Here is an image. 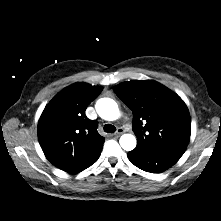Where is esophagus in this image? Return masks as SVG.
Returning a JSON list of instances; mask_svg holds the SVG:
<instances>
[{
    "mask_svg": "<svg viewBox=\"0 0 221 221\" xmlns=\"http://www.w3.org/2000/svg\"><path fill=\"white\" fill-rule=\"evenodd\" d=\"M125 132V130L122 127H119L117 129V131L114 133V135L119 136L121 134H123Z\"/></svg>",
    "mask_w": 221,
    "mask_h": 221,
    "instance_id": "1",
    "label": "esophagus"
}]
</instances>
